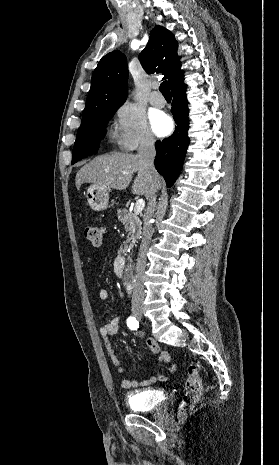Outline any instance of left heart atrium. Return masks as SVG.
Returning <instances> with one entry per match:
<instances>
[{"mask_svg": "<svg viewBox=\"0 0 279 465\" xmlns=\"http://www.w3.org/2000/svg\"><path fill=\"white\" fill-rule=\"evenodd\" d=\"M151 126L156 135L165 136L172 130L173 123L168 115L158 112L152 116Z\"/></svg>", "mask_w": 279, "mask_h": 465, "instance_id": "obj_1", "label": "left heart atrium"}]
</instances>
